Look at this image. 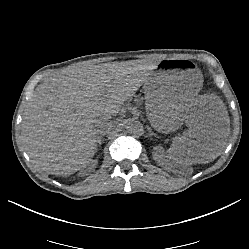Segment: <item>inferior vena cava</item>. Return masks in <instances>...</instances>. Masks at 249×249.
Instances as JSON below:
<instances>
[{"instance_id":"inferior-vena-cava-1","label":"inferior vena cava","mask_w":249,"mask_h":249,"mask_svg":"<svg viewBox=\"0 0 249 249\" xmlns=\"http://www.w3.org/2000/svg\"><path fill=\"white\" fill-rule=\"evenodd\" d=\"M94 124H95V128H97V132H100V133H103V132L106 133L113 127V122L111 120L110 115L102 116L101 118L96 119L94 121Z\"/></svg>"}]
</instances>
